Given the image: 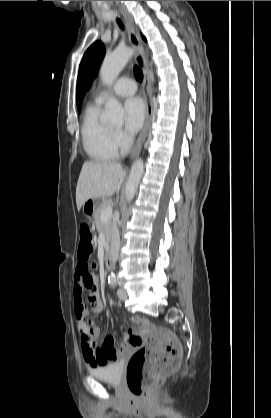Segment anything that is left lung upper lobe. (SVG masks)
<instances>
[{
  "label": "left lung upper lobe",
  "mask_w": 271,
  "mask_h": 418,
  "mask_svg": "<svg viewBox=\"0 0 271 418\" xmlns=\"http://www.w3.org/2000/svg\"><path fill=\"white\" fill-rule=\"evenodd\" d=\"M104 54L105 46L101 42L97 41L88 48L82 58L77 78L76 100L78 111L81 109L84 94L90 87L91 82L99 69Z\"/></svg>",
  "instance_id": "1"
}]
</instances>
